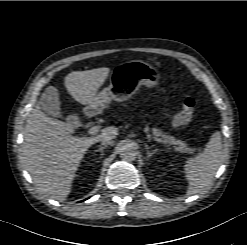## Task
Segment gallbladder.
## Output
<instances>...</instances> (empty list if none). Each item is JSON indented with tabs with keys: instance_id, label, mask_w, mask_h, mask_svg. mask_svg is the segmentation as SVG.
<instances>
[{
	"instance_id": "1",
	"label": "gallbladder",
	"mask_w": 247,
	"mask_h": 245,
	"mask_svg": "<svg viewBox=\"0 0 247 245\" xmlns=\"http://www.w3.org/2000/svg\"><path fill=\"white\" fill-rule=\"evenodd\" d=\"M39 106L48 115L59 119L63 118L58 90L55 87L46 88L39 100Z\"/></svg>"
}]
</instances>
